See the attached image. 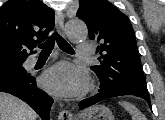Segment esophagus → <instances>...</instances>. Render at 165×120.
<instances>
[{
	"label": "esophagus",
	"mask_w": 165,
	"mask_h": 120,
	"mask_svg": "<svg viewBox=\"0 0 165 120\" xmlns=\"http://www.w3.org/2000/svg\"><path fill=\"white\" fill-rule=\"evenodd\" d=\"M56 24L58 31L61 35H64V14L62 12L56 13ZM59 120H72L73 114L68 110H63L58 115Z\"/></svg>",
	"instance_id": "1"
}]
</instances>
